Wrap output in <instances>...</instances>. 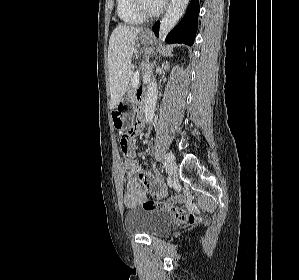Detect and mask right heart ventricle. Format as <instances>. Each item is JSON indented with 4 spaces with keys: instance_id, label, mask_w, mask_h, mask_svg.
I'll list each match as a JSON object with an SVG mask.
<instances>
[{
    "instance_id": "right-heart-ventricle-1",
    "label": "right heart ventricle",
    "mask_w": 299,
    "mask_h": 280,
    "mask_svg": "<svg viewBox=\"0 0 299 280\" xmlns=\"http://www.w3.org/2000/svg\"><path fill=\"white\" fill-rule=\"evenodd\" d=\"M117 14L125 24L136 25L142 23L144 20L136 12L133 0H117Z\"/></svg>"
}]
</instances>
